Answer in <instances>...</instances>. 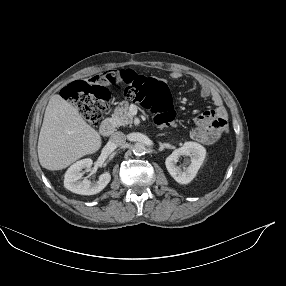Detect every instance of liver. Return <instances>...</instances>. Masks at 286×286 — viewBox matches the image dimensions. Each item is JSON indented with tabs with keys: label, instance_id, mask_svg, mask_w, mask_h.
I'll use <instances>...</instances> for the list:
<instances>
[{
	"label": "liver",
	"instance_id": "obj_1",
	"mask_svg": "<svg viewBox=\"0 0 286 286\" xmlns=\"http://www.w3.org/2000/svg\"><path fill=\"white\" fill-rule=\"evenodd\" d=\"M99 133L88 125L79 111L59 94L46 107L38 139V157L42 167L61 170L101 147Z\"/></svg>",
	"mask_w": 286,
	"mask_h": 286
}]
</instances>
